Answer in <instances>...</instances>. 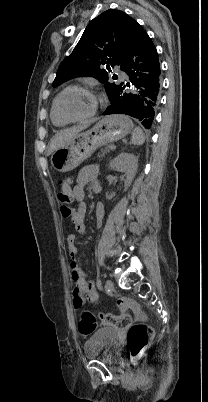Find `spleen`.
Listing matches in <instances>:
<instances>
[{"mask_svg": "<svg viewBox=\"0 0 208 402\" xmlns=\"http://www.w3.org/2000/svg\"><path fill=\"white\" fill-rule=\"evenodd\" d=\"M145 142V136L143 130L141 128H134L131 136V144H135V146H142Z\"/></svg>", "mask_w": 208, "mask_h": 402, "instance_id": "1", "label": "spleen"}]
</instances>
